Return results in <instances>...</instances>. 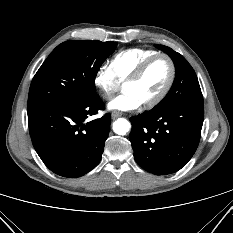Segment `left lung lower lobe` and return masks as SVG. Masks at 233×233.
<instances>
[{"instance_id":"left-lung-lower-lobe-1","label":"left lung lower lobe","mask_w":233,"mask_h":233,"mask_svg":"<svg viewBox=\"0 0 233 233\" xmlns=\"http://www.w3.org/2000/svg\"><path fill=\"white\" fill-rule=\"evenodd\" d=\"M204 105L180 103L130 118L129 136L138 165L156 175L180 170L195 153Z\"/></svg>"}]
</instances>
